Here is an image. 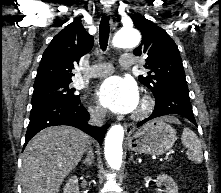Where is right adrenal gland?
Listing matches in <instances>:
<instances>
[{"label":"right adrenal gland","mask_w":221,"mask_h":193,"mask_svg":"<svg viewBox=\"0 0 221 193\" xmlns=\"http://www.w3.org/2000/svg\"><path fill=\"white\" fill-rule=\"evenodd\" d=\"M93 163V157L91 155H88L85 160H83V164L85 166H90Z\"/></svg>","instance_id":"2a0ac1e0"}]
</instances>
